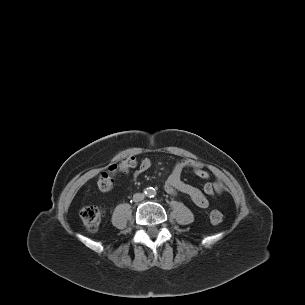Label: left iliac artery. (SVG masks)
<instances>
[{"label": "left iliac artery", "instance_id": "obj_1", "mask_svg": "<svg viewBox=\"0 0 305 305\" xmlns=\"http://www.w3.org/2000/svg\"><path fill=\"white\" fill-rule=\"evenodd\" d=\"M156 195V192L155 191H153V193H152V197H154Z\"/></svg>", "mask_w": 305, "mask_h": 305}]
</instances>
